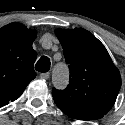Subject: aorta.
<instances>
[{
	"label": "aorta",
	"instance_id": "1",
	"mask_svg": "<svg viewBox=\"0 0 125 125\" xmlns=\"http://www.w3.org/2000/svg\"><path fill=\"white\" fill-rule=\"evenodd\" d=\"M68 80V72L65 66H57L54 70L52 81L56 87H63Z\"/></svg>",
	"mask_w": 125,
	"mask_h": 125
}]
</instances>
